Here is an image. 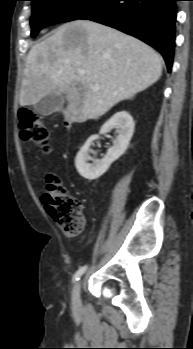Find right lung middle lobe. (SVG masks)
Instances as JSON below:
<instances>
[{
    "instance_id": "obj_1",
    "label": "right lung middle lobe",
    "mask_w": 193,
    "mask_h": 349,
    "mask_svg": "<svg viewBox=\"0 0 193 349\" xmlns=\"http://www.w3.org/2000/svg\"><path fill=\"white\" fill-rule=\"evenodd\" d=\"M31 36L44 27L79 19L100 0H31Z\"/></svg>"
}]
</instances>
